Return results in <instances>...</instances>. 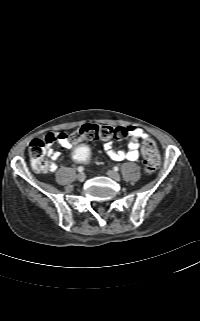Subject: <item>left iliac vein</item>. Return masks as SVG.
<instances>
[{
	"mask_svg": "<svg viewBox=\"0 0 200 321\" xmlns=\"http://www.w3.org/2000/svg\"><path fill=\"white\" fill-rule=\"evenodd\" d=\"M107 175H108L110 178H112V179H114V180H116V181H120V180H121L120 175H119L117 172L113 171V170L107 171Z\"/></svg>",
	"mask_w": 200,
	"mask_h": 321,
	"instance_id": "obj_1",
	"label": "left iliac vein"
}]
</instances>
